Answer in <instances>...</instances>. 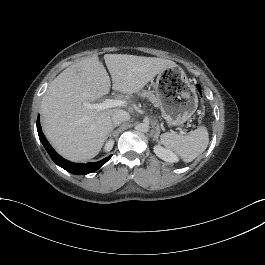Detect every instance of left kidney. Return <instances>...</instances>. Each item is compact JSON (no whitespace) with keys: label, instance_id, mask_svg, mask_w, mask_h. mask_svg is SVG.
Here are the masks:
<instances>
[{"label":"left kidney","instance_id":"obj_1","mask_svg":"<svg viewBox=\"0 0 265 265\" xmlns=\"http://www.w3.org/2000/svg\"><path fill=\"white\" fill-rule=\"evenodd\" d=\"M154 153L166 162H177L178 157L169 149L163 148L161 145L154 146Z\"/></svg>","mask_w":265,"mask_h":265}]
</instances>
